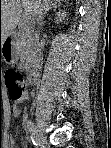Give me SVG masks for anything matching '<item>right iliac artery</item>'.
I'll list each match as a JSON object with an SVG mask.
<instances>
[{
	"label": "right iliac artery",
	"mask_w": 111,
	"mask_h": 148,
	"mask_svg": "<svg viewBox=\"0 0 111 148\" xmlns=\"http://www.w3.org/2000/svg\"><path fill=\"white\" fill-rule=\"evenodd\" d=\"M26 126L27 128L29 129L30 133H31V139H32V142L34 145H37V140L35 138V133H36V130H35V126L33 124L32 121L28 120L27 123H26Z\"/></svg>",
	"instance_id": "obj_1"
}]
</instances>
